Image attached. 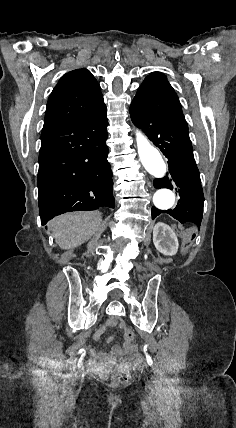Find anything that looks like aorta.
I'll use <instances>...</instances> for the list:
<instances>
[{"instance_id": "aorta-1", "label": "aorta", "mask_w": 236, "mask_h": 428, "mask_svg": "<svg viewBox=\"0 0 236 428\" xmlns=\"http://www.w3.org/2000/svg\"><path fill=\"white\" fill-rule=\"evenodd\" d=\"M137 150L141 163L149 174L155 178H163L166 164L159 151L150 144L144 134L136 130ZM175 202V195L169 189H160L153 196L154 206L159 210L170 209Z\"/></svg>"}]
</instances>
